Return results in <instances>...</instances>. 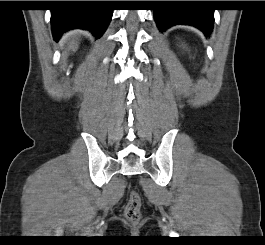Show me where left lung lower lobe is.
I'll return each mask as SVG.
<instances>
[{"instance_id": "1", "label": "left lung lower lobe", "mask_w": 265, "mask_h": 245, "mask_svg": "<svg viewBox=\"0 0 265 245\" xmlns=\"http://www.w3.org/2000/svg\"><path fill=\"white\" fill-rule=\"evenodd\" d=\"M199 1H172L170 8L154 10V18L161 32L176 24L192 25L202 30L206 36L213 29L214 10L192 8L198 6Z\"/></svg>"}]
</instances>
